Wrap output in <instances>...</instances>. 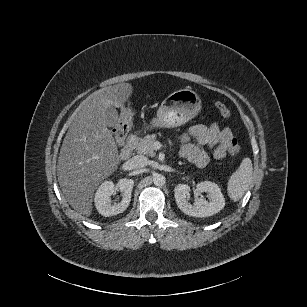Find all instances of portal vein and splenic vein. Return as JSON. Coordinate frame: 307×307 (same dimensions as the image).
<instances>
[{
    "label": "portal vein and splenic vein",
    "instance_id": "1",
    "mask_svg": "<svg viewBox=\"0 0 307 307\" xmlns=\"http://www.w3.org/2000/svg\"><path fill=\"white\" fill-rule=\"evenodd\" d=\"M155 144L160 145V142H159V141H156Z\"/></svg>",
    "mask_w": 307,
    "mask_h": 307
}]
</instances>
